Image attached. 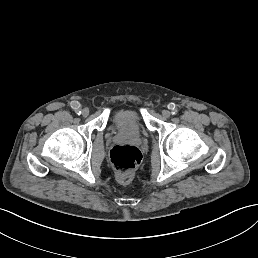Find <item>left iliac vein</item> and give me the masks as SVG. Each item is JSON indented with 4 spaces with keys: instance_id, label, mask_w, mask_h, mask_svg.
Segmentation results:
<instances>
[{
    "instance_id": "obj_1",
    "label": "left iliac vein",
    "mask_w": 258,
    "mask_h": 258,
    "mask_svg": "<svg viewBox=\"0 0 258 258\" xmlns=\"http://www.w3.org/2000/svg\"><path fill=\"white\" fill-rule=\"evenodd\" d=\"M163 115H164V117L167 118V117H169L170 114H169V112L165 111Z\"/></svg>"
}]
</instances>
